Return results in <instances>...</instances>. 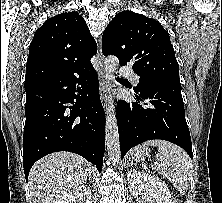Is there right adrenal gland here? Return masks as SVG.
<instances>
[{"instance_id":"1","label":"right adrenal gland","mask_w":222,"mask_h":203,"mask_svg":"<svg viewBox=\"0 0 222 203\" xmlns=\"http://www.w3.org/2000/svg\"><path fill=\"white\" fill-rule=\"evenodd\" d=\"M91 178H92V177H91V175H90V176H89V180H90V182H91Z\"/></svg>"}]
</instances>
